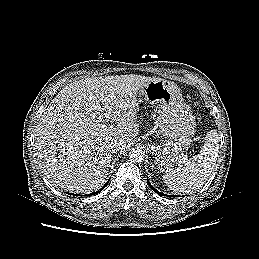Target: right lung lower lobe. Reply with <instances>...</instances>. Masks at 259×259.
Returning a JSON list of instances; mask_svg holds the SVG:
<instances>
[{"label": "right lung lower lobe", "instance_id": "1", "mask_svg": "<svg viewBox=\"0 0 259 259\" xmlns=\"http://www.w3.org/2000/svg\"><path fill=\"white\" fill-rule=\"evenodd\" d=\"M109 180H110V179H109ZM109 180L107 181V183H106L99 191H97V192H95V193H99L101 190H103V188L108 184ZM95 193H93V194H95Z\"/></svg>", "mask_w": 259, "mask_h": 259}]
</instances>
